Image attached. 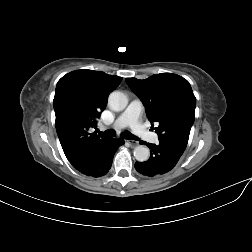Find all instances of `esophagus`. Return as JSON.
I'll return each mask as SVG.
<instances>
[{
  "instance_id": "esophagus-1",
  "label": "esophagus",
  "mask_w": 252,
  "mask_h": 252,
  "mask_svg": "<svg viewBox=\"0 0 252 252\" xmlns=\"http://www.w3.org/2000/svg\"><path fill=\"white\" fill-rule=\"evenodd\" d=\"M127 143L131 146V147H135L138 145V142L135 140H127Z\"/></svg>"
}]
</instances>
